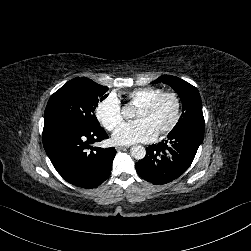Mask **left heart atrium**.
I'll list each match as a JSON object with an SVG mask.
<instances>
[{
  "label": "left heart atrium",
  "instance_id": "1",
  "mask_svg": "<svg viewBox=\"0 0 251 251\" xmlns=\"http://www.w3.org/2000/svg\"><path fill=\"white\" fill-rule=\"evenodd\" d=\"M159 129L148 119L136 122L122 123L114 132L113 140L117 144L128 145L133 143L151 142L158 136Z\"/></svg>",
  "mask_w": 251,
  "mask_h": 251
}]
</instances>
